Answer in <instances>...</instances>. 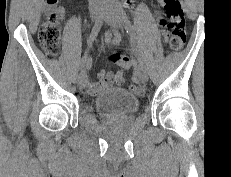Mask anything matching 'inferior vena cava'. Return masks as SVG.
I'll return each mask as SVG.
<instances>
[{"instance_id": "inferior-vena-cava-1", "label": "inferior vena cava", "mask_w": 231, "mask_h": 177, "mask_svg": "<svg viewBox=\"0 0 231 177\" xmlns=\"http://www.w3.org/2000/svg\"><path fill=\"white\" fill-rule=\"evenodd\" d=\"M104 0H89L90 3H94V2H102Z\"/></svg>"}]
</instances>
